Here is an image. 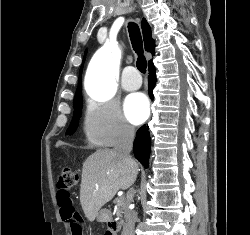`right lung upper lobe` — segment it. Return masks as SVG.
<instances>
[{"instance_id": "right-lung-upper-lobe-1", "label": "right lung upper lobe", "mask_w": 250, "mask_h": 235, "mask_svg": "<svg viewBox=\"0 0 250 235\" xmlns=\"http://www.w3.org/2000/svg\"><path fill=\"white\" fill-rule=\"evenodd\" d=\"M141 26H142V30H143L145 49H146V51H149L152 53V55H154L155 43H154V40L152 39V36H151L150 26L145 19L142 20ZM79 80H80V78H79ZM79 94H81V84H80L79 88L77 89L75 96H77Z\"/></svg>"}]
</instances>
